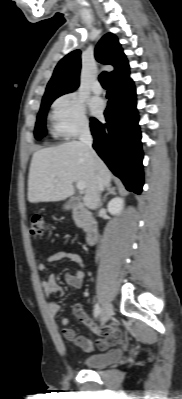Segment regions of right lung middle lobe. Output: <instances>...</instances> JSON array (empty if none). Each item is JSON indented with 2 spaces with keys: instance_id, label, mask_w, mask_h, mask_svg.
<instances>
[{
  "instance_id": "1",
  "label": "right lung middle lobe",
  "mask_w": 182,
  "mask_h": 399,
  "mask_svg": "<svg viewBox=\"0 0 182 399\" xmlns=\"http://www.w3.org/2000/svg\"><path fill=\"white\" fill-rule=\"evenodd\" d=\"M57 97L46 98L42 100L41 108L39 114L37 116V122L35 126V138L37 140L41 139L46 134L45 122H46V115L49 106Z\"/></svg>"
}]
</instances>
